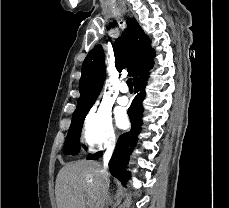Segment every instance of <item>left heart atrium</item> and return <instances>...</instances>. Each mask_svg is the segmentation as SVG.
Here are the masks:
<instances>
[{
  "label": "left heart atrium",
  "instance_id": "1",
  "mask_svg": "<svg viewBox=\"0 0 229 208\" xmlns=\"http://www.w3.org/2000/svg\"><path fill=\"white\" fill-rule=\"evenodd\" d=\"M117 123H118L119 127H121V128L127 127V125H128L127 117L124 114L118 116Z\"/></svg>",
  "mask_w": 229,
  "mask_h": 208
}]
</instances>
